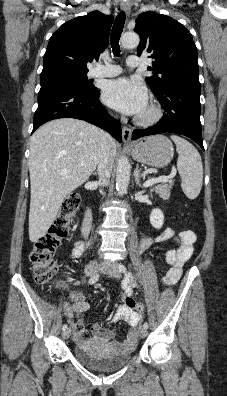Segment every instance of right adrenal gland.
<instances>
[{
  "label": "right adrenal gland",
  "instance_id": "1",
  "mask_svg": "<svg viewBox=\"0 0 227 396\" xmlns=\"http://www.w3.org/2000/svg\"><path fill=\"white\" fill-rule=\"evenodd\" d=\"M93 175H97V172H94Z\"/></svg>",
  "mask_w": 227,
  "mask_h": 396
}]
</instances>
